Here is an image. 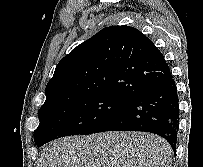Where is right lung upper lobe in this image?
<instances>
[{"label":"right lung upper lobe","mask_w":203,"mask_h":167,"mask_svg":"<svg viewBox=\"0 0 203 167\" xmlns=\"http://www.w3.org/2000/svg\"><path fill=\"white\" fill-rule=\"evenodd\" d=\"M170 74L163 54L138 29L106 27L58 63L40 110L93 94H112L131 101Z\"/></svg>","instance_id":"right-lung-upper-lobe-1"}]
</instances>
